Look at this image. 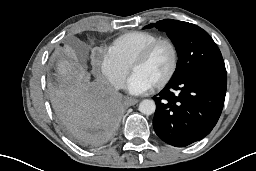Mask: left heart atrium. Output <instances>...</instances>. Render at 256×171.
<instances>
[{
  "label": "left heart atrium",
  "instance_id": "39dd6f15",
  "mask_svg": "<svg viewBox=\"0 0 256 171\" xmlns=\"http://www.w3.org/2000/svg\"><path fill=\"white\" fill-rule=\"evenodd\" d=\"M152 87L153 85L150 82L145 80L137 73H133L126 83V89L129 93L134 95L143 94L150 90Z\"/></svg>",
  "mask_w": 256,
  "mask_h": 171
}]
</instances>
